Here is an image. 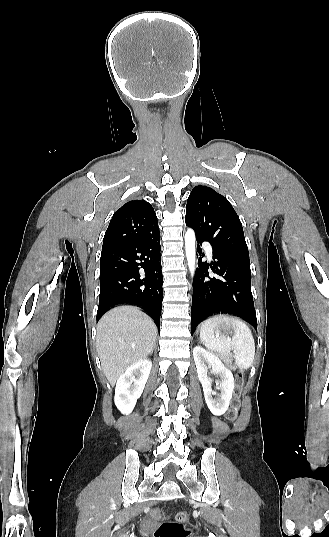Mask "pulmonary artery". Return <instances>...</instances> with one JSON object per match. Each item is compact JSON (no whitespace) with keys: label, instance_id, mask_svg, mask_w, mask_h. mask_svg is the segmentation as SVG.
Here are the masks:
<instances>
[{"label":"pulmonary artery","instance_id":"e3ab8cb5","mask_svg":"<svg viewBox=\"0 0 329 537\" xmlns=\"http://www.w3.org/2000/svg\"><path fill=\"white\" fill-rule=\"evenodd\" d=\"M204 246L206 248V251L211 255L212 254V248L208 243H204Z\"/></svg>","mask_w":329,"mask_h":537}]
</instances>
